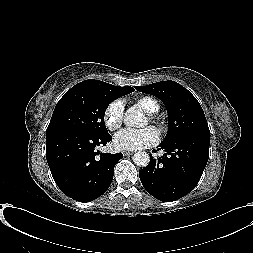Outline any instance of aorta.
<instances>
[{
  "label": "aorta",
  "mask_w": 253,
  "mask_h": 253,
  "mask_svg": "<svg viewBox=\"0 0 253 253\" xmlns=\"http://www.w3.org/2000/svg\"><path fill=\"white\" fill-rule=\"evenodd\" d=\"M125 125L129 127H142L143 117L139 113L129 110L124 117ZM133 162L140 167H146L150 162V156L146 152H136L133 156Z\"/></svg>",
  "instance_id": "1"
}]
</instances>
